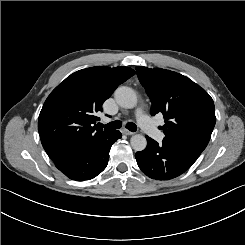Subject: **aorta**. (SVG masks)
I'll use <instances>...</instances> for the list:
<instances>
[{"label": "aorta", "instance_id": "1", "mask_svg": "<svg viewBox=\"0 0 245 245\" xmlns=\"http://www.w3.org/2000/svg\"><path fill=\"white\" fill-rule=\"evenodd\" d=\"M116 102L123 108H134L137 105V96L134 90L127 86H121L115 91ZM135 151H143L147 146V140L143 135L136 134L130 139Z\"/></svg>", "mask_w": 245, "mask_h": 245}]
</instances>
